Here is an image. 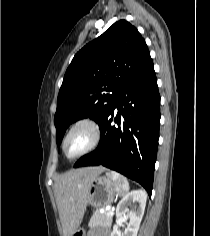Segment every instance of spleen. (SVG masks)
<instances>
[{
  "mask_svg": "<svg viewBox=\"0 0 210 236\" xmlns=\"http://www.w3.org/2000/svg\"><path fill=\"white\" fill-rule=\"evenodd\" d=\"M107 176L111 177L115 182L117 186V193L121 196H124L125 194L128 193L129 191V183L126 177L123 175L115 172V171H110L106 174Z\"/></svg>",
  "mask_w": 210,
  "mask_h": 236,
  "instance_id": "spleen-1",
  "label": "spleen"
}]
</instances>
